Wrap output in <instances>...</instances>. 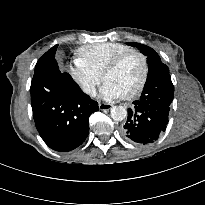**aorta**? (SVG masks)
Listing matches in <instances>:
<instances>
[{
  "label": "aorta",
  "mask_w": 205,
  "mask_h": 205,
  "mask_svg": "<svg viewBox=\"0 0 205 205\" xmlns=\"http://www.w3.org/2000/svg\"><path fill=\"white\" fill-rule=\"evenodd\" d=\"M111 118L115 121H122L127 116V111L123 106H114L110 110Z\"/></svg>",
  "instance_id": "aorta-1"
}]
</instances>
